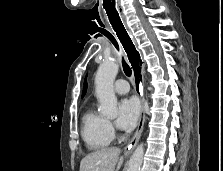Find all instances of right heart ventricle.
Wrapping results in <instances>:
<instances>
[{
	"instance_id": "1",
	"label": "right heart ventricle",
	"mask_w": 223,
	"mask_h": 171,
	"mask_svg": "<svg viewBox=\"0 0 223 171\" xmlns=\"http://www.w3.org/2000/svg\"><path fill=\"white\" fill-rule=\"evenodd\" d=\"M81 135L90 150L104 149L113 140L107 119L93 108H88L83 114Z\"/></svg>"
}]
</instances>
